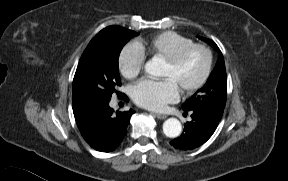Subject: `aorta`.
Masks as SVG:
<instances>
[{
  "label": "aorta",
  "instance_id": "obj_1",
  "mask_svg": "<svg viewBox=\"0 0 288 181\" xmlns=\"http://www.w3.org/2000/svg\"><path fill=\"white\" fill-rule=\"evenodd\" d=\"M145 71L150 75H157L159 72L158 64L150 60L145 64ZM182 131L181 123L176 118H169L163 123V132L169 138H176Z\"/></svg>",
  "mask_w": 288,
  "mask_h": 181
}]
</instances>
